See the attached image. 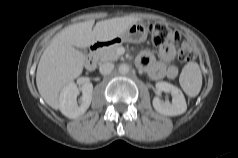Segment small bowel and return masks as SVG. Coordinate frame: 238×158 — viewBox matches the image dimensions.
<instances>
[{"label":"small bowel","instance_id":"c3829d8e","mask_svg":"<svg viewBox=\"0 0 238 158\" xmlns=\"http://www.w3.org/2000/svg\"><path fill=\"white\" fill-rule=\"evenodd\" d=\"M176 49L172 43H168L160 48L161 60H157L151 50H144L137 59L138 66L147 71L154 80L163 78L173 79L178 75V68L173 64Z\"/></svg>","mask_w":238,"mask_h":158}]
</instances>
